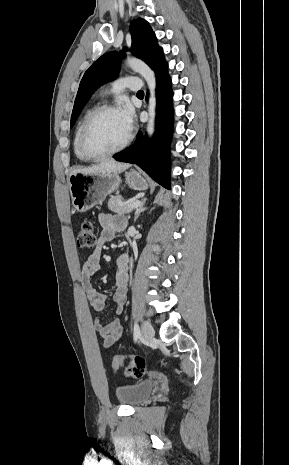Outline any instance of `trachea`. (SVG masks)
I'll return each instance as SVG.
<instances>
[{"mask_svg":"<svg viewBox=\"0 0 289 465\" xmlns=\"http://www.w3.org/2000/svg\"><path fill=\"white\" fill-rule=\"evenodd\" d=\"M137 95H144V92L142 90L137 92Z\"/></svg>","mask_w":289,"mask_h":465,"instance_id":"trachea-1","label":"trachea"}]
</instances>
